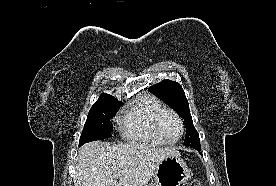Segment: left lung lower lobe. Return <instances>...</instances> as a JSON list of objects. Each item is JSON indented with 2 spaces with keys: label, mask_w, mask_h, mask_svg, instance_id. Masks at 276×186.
Returning <instances> with one entry per match:
<instances>
[{
  "label": "left lung lower lobe",
  "mask_w": 276,
  "mask_h": 186,
  "mask_svg": "<svg viewBox=\"0 0 276 186\" xmlns=\"http://www.w3.org/2000/svg\"><path fill=\"white\" fill-rule=\"evenodd\" d=\"M192 148L196 149V150L199 151V152H200V150H201L200 146H195V147H192Z\"/></svg>",
  "instance_id": "1"
}]
</instances>
